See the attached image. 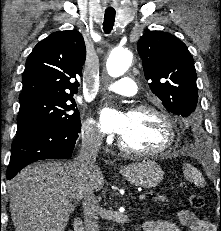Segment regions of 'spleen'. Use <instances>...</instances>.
<instances>
[{
    "label": "spleen",
    "instance_id": "1",
    "mask_svg": "<svg viewBox=\"0 0 221 231\" xmlns=\"http://www.w3.org/2000/svg\"><path fill=\"white\" fill-rule=\"evenodd\" d=\"M183 173H184V177L188 181L194 182V184L196 185H200V186L204 185V181H205L204 178L201 176L198 170L194 168L192 165L185 164L183 166Z\"/></svg>",
    "mask_w": 221,
    "mask_h": 231
}]
</instances>
